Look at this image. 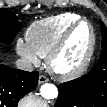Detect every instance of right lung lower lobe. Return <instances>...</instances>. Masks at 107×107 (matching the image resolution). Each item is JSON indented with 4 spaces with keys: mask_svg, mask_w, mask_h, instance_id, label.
<instances>
[{
    "mask_svg": "<svg viewBox=\"0 0 107 107\" xmlns=\"http://www.w3.org/2000/svg\"><path fill=\"white\" fill-rule=\"evenodd\" d=\"M38 77V72L0 65V107H17L18 101L36 88Z\"/></svg>",
    "mask_w": 107,
    "mask_h": 107,
    "instance_id": "right-lung-lower-lobe-1",
    "label": "right lung lower lobe"
}]
</instances>
